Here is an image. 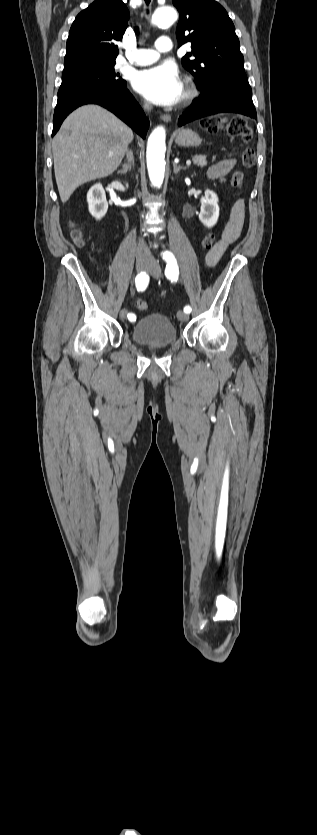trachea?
<instances>
[{
	"label": "trachea",
	"mask_w": 317,
	"mask_h": 835,
	"mask_svg": "<svg viewBox=\"0 0 317 835\" xmlns=\"http://www.w3.org/2000/svg\"><path fill=\"white\" fill-rule=\"evenodd\" d=\"M151 0H145V3L148 5Z\"/></svg>",
	"instance_id": "trachea-1"
}]
</instances>
